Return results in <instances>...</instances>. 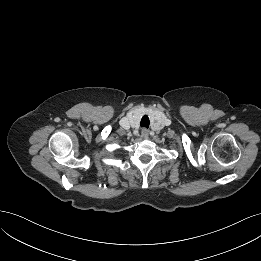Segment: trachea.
Segmentation results:
<instances>
[{"instance_id":"1","label":"trachea","mask_w":261,"mask_h":261,"mask_svg":"<svg viewBox=\"0 0 261 261\" xmlns=\"http://www.w3.org/2000/svg\"><path fill=\"white\" fill-rule=\"evenodd\" d=\"M141 127H145V128H148L149 127V124H150V121H149V117L147 115H144L141 119Z\"/></svg>"}]
</instances>
